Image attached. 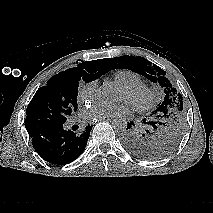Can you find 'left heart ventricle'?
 <instances>
[{
  "label": "left heart ventricle",
  "mask_w": 213,
  "mask_h": 213,
  "mask_svg": "<svg viewBox=\"0 0 213 213\" xmlns=\"http://www.w3.org/2000/svg\"><path fill=\"white\" fill-rule=\"evenodd\" d=\"M139 98H141V96H139ZM120 100H128V95L125 91L121 90V93H120Z\"/></svg>",
  "instance_id": "obj_1"
}]
</instances>
